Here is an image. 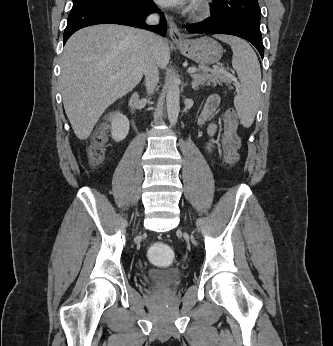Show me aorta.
Masks as SVG:
<instances>
[{
    "label": "aorta",
    "mask_w": 333,
    "mask_h": 346,
    "mask_svg": "<svg viewBox=\"0 0 333 346\" xmlns=\"http://www.w3.org/2000/svg\"><path fill=\"white\" fill-rule=\"evenodd\" d=\"M179 96H180L179 84L174 80L169 85L167 97H166L167 114H168V119L171 125H175L178 120V115L180 112Z\"/></svg>",
    "instance_id": "1"
}]
</instances>
